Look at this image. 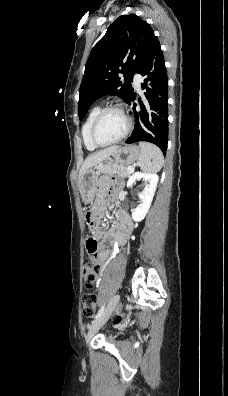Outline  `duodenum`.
Returning a JSON list of instances; mask_svg holds the SVG:
<instances>
[{
    "label": "duodenum",
    "mask_w": 228,
    "mask_h": 396,
    "mask_svg": "<svg viewBox=\"0 0 228 396\" xmlns=\"http://www.w3.org/2000/svg\"><path fill=\"white\" fill-rule=\"evenodd\" d=\"M115 229L118 233L119 241L122 242V240L129 235V233L131 231V225L122 216H118L117 223L115 225Z\"/></svg>",
    "instance_id": "1"
}]
</instances>
